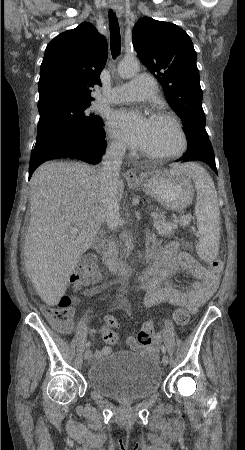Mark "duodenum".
Returning <instances> with one entry per match:
<instances>
[{"instance_id": "obj_1", "label": "duodenum", "mask_w": 245, "mask_h": 450, "mask_svg": "<svg viewBox=\"0 0 245 450\" xmlns=\"http://www.w3.org/2000/svg\"><path fill=\"white\" fill-rule=\"evenodd\" d=\"M116 242L113 237H109L105 242V249L102 259L107 268L120 275L121 278L129 277L135 270L131 263L119 261L115 256Z\"/></svg>"}]
</instances>
